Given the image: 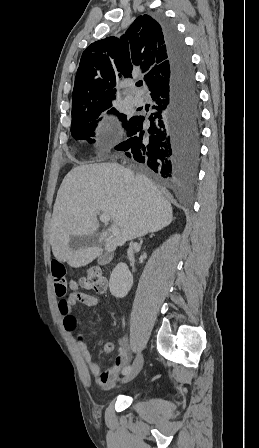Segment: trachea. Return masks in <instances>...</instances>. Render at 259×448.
Returning a JSON list of instances; mask_svg holds the SVG:
<instances>
[{
	"label": "trachea",
	"mask_w": 259,
	"mask_h": 448,
	"mask_svg": "<svg viewBox=\"0 0 259 448\" xmlns=\"http://www.w3.org/2000/svg\"><path fill=\"white\" fill-rule=\"evenodd\" d=\"M142 85H143V81L142 80H139V82L136 83L137 87H142Z\"/></svg>",
	"instance_id": "3493384b"
}]
</instances>
